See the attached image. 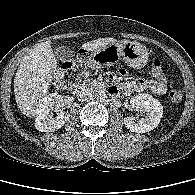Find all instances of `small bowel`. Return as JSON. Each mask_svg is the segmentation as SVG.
<instances>
[{
  "label": "small bowel",
  "instance_id": "c3829d8e",
  "mask_svg": "<svg viewBox=\"0 0 195 195\" xmlns=\"http://www.w3.org/2000/svg\"><path fill=\"white\" fill-rule=\"evenodd\" d=\"M121 74H125L124 70L120 71ZM124 94H131L137 91H150L157 95H164L167 92V86L165 81H158L156 79L135 77L123 82L120 86Z\"/></svg>",
  "mask_w": 195,
  "mask_h": 195
}]
</instances>
